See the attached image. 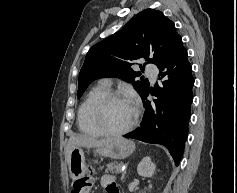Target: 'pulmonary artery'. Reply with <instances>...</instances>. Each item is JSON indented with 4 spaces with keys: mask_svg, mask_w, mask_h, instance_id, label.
Listing matches in <instances>:
<instances>
[{
    "mask_svg": "<svg viewBox=\"0 0 237 193\" xmlns=\"http://www.w3.org/2000/svg\"><path fill=\"white\" fill-rule=\"evenodd\" d=\"M145 71L147 75L151 78V80L154 81L158 71L157 67L154 64H148L145 68ZM103 84L109 86V81L103 80Z\"/></svg>",
    "mask_w": 237,
    "mask_h": 193,
    "instance_id": "e3ab8cb5",
    "label": "pulmonary artery"
}]
</instances>
